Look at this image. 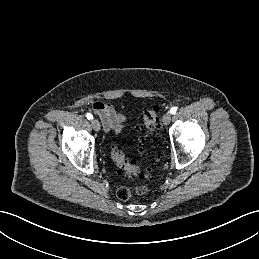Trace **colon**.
Segmentation results:
<instances>
[{
    "instance_id": "5ec220e1",
    "label": "colon",
    "mask_w": 259,
    "mask_h": 259,
    "mask_svg": "<svg viewBox=\"0 0 259 259\" xmlns=\"http://www.w3.org/2000/svg\"><path fill=\"white\" fill-rule=\"evenodd\" d=\"M159 128V108L157 106L147 108L142 113V124L140 130L143 133V141L150 140ZM142 154L146 158L152 157V152L148 149L142 148ZM111 156L117 167L125 175L130 178H145L149 176V169L146 167H140L132 162H129L123 152L113 147L111 150ZM148 188L142 183L135 184L131 187H121L117 191V196L121 200H128L133 196H142L146 194Z\"/></svg>"
}]
</instances>
